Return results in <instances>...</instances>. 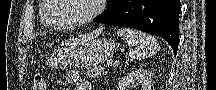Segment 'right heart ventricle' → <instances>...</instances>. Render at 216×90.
<instances>
[{"label":"right heart ventricle","instance_id":"obj_1","mask_svg":"<svg viewBox=\"0 0 216 90\" xmlns=\"http://www.w3.org/2000/svg\"><path fill=\"white\" fill-rule=\"evenodd\" d=\"M40 6H52V2H40ZM40 10V14H48V7H42ZM42 26L48 28L43 22H41Z\"/></svg>","mask_w":216,"mask_h":90}]
</instances>
